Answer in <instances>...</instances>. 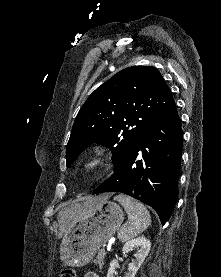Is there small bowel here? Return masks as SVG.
<instances>
[{"instance_id":"obj_1","label":"small bowel","mask_w":221,"mask_h":277,"mask_svg":"<svg viewBox=\"0 0 221 277\" xmlns=\"http://www.w3.org/2000/svg\"><path fill=\"white\" fill-rule=\"evenodd\" d=\"M84 277H99V276L94 272H88L84 275Z\"/></svg>"}]
</instances>
